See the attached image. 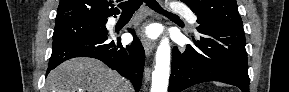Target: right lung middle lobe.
<instances>
[{"mask_svg": "<svg viewBox=\"0 0 289 92\" xmlns=\"http://www.w3.org/2000/svg\"><path fill=\"white\" fill-rule=\"evenodd\" d=\"M107 21L73 20L56 23L53 33V48L87 38L107 35Z\"/></svg>", "mask_w": 289, "mask_h": 92, "instance_id": "dd1d6c3e", "label": "right lung middle lobe"}]
</instances>
